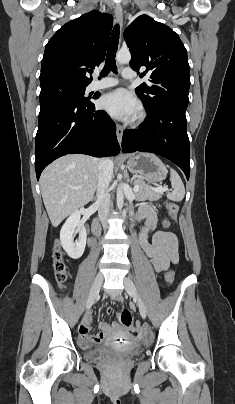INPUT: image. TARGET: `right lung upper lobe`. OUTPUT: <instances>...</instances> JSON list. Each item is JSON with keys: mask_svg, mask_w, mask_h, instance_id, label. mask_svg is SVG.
Here are the masks:
<instances>
[{"mask_svg": "<svg viewBox=\"0 0 235 404\" xmlns=\"http://www.w3.org/2000/svg\"><path fill=\"white\" fill-rule=\"evenodd\" d=\"M113 17L93 10L63 25L46 44L40 84L88 85L86 73L105 58Z\"/></svg>", "mask_w": 235, "mask_h": 404, "instance_id": "1", "label": "right lung upper lobe"}]
</instances>
